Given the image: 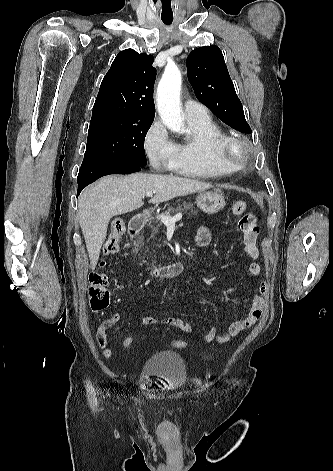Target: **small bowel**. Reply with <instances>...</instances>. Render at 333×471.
Returning a JSON list of instances; mask_svg holds the SVG:
<instances>
[{
    "label": "small bowel",
    "mask_w": 333,
    "mask_h": 471,
    "mask_svg": "<svg viewBox=\"0 0 333 471\" xmlns=\"http://www.w3.org/2000/svg\"><path fill=\"white\" fill-rule=\"evenodd\" d=\"M238 229L243 233V244L246 254L251 259H257L259 257V249L257 247V237L259 234V228L252 215H245L238 224ZM195 242L199 247H206L211 242V233L207 227L198 228L195 235ZM248 272L252 276H258L261 274V266L259 263L253 262L248 267ZM128 289L132 292L133 298L131 302L138 299V292L136 291L133 283V278L130 277L127 283ZM268 293V287L265 282H262L257 292L254 294L249 311L247 315L230 324L228 331L224 334L218 333L216 327H211L203 336V340L206 343L217 341L219 343L229 342L231 339L236 337L239 333L249 329L254 325L262 316L265 301ZM120 320L119 314H114L106 320L98 329L96 333V341L99 347L103 350L105 357L109 358L113 354V350L107 346V329L116 324ZM142 324L145 326L155 325L158 323L167 324L175 327L182 333L189 334L193 331L192 325L185 318L176 317H164L161 319L153 316L146 315L142 318Z\"/></svg>",
    "instance_id": "1"
}]
</instances>
